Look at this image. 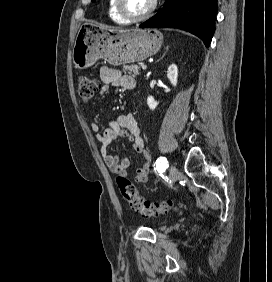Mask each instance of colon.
Segmentation results:
<instances>
[{
  "instance_id": "colon-1",
  "label": "colon",
  "mask_w": 272,
  "mask_h": 282,
  "mask_svg": "<svg viewBox=\"0 0 272 282\" xmlns=\"http://www.w3.org/2000/svg\"><path fill=\"white\" fill-rule=\"evenodd\" d=\"M101 84L98 80L88 77L80 76L78 78L77 90L78 96L83 102H90L98 90L101 89ZM117 185L123 199L128 205L145 217H154L160 214L169 212L173 207L171 200L162 202L145 201L139 194L137 188L124 175H118Z\"/></svg>"
}]
</instances>
